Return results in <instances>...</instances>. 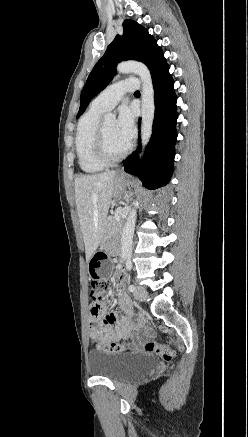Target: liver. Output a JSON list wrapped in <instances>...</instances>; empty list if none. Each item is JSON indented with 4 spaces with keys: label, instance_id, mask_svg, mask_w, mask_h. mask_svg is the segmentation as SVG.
<instances>
[{
    "label": "liver",
    "instance_id": "liver-1",
    "mask_svg": "<svg viewBox=\"0 0 248 437\" xmlns=\"http://www.w3.org/2000/svg\"><path fill=\"white\" fill-rule=\"evenodd\" d=\"M115 171L81 175L75 179V199L89 261L103 239L110 203L115 192Z\"/></svg>",
    "mask_w": 248,
    "mask_h": 437
}]
</instances>
